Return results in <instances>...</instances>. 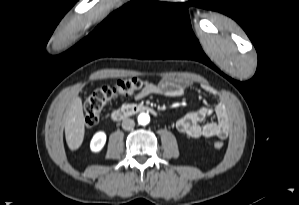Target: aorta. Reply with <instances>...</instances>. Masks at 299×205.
I'll use <instances>...</instances> for the list:
<instances>
[{"instance_id":"1","label":"aorta","mask_w":299,"mask_h":205,"mask_svg":"<svg viewBox=\"0 0 299 205\" xmlns=\"http://www.w3.org/2000/svg\"><path fill=\"white\" fill-rule=\"evenodd\" d=\"M150 122V116L147 113H140L138 116V123L140 125H147Z\"/></svg>"}]
</instances>
